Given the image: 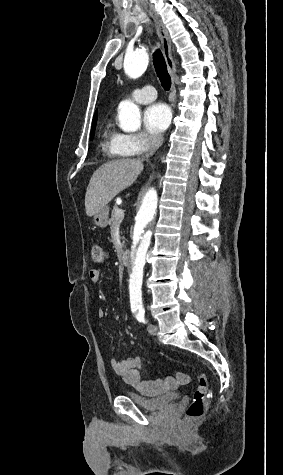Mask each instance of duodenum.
<instances>
[{
    "label": "duodenum",
    "instance_id": "duodenum-1",
    "mask_svg": "<svg viewBox=\"0 0 283 475\" xmlns=\"http://www.w3.org/2000/svg\"><path fill=\"white\" fill-rule=\"evenodd\" d=\"M130 258V251L124 250L121 254V260L123 264H127Z\"/></svg>",
    "mask_w": 283,
    "mask_h": 475
}]
</instances>
